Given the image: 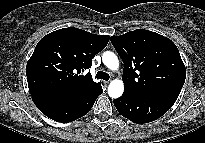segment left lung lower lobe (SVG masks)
Here are the masks:
<instances>
[{
    "label": "left lung lower lobe",
    "mask_w": 205,
    "mask_h": 143,
    "mask_svg": "<svg viewBox=\"0 0 205 143\" xmlns=\"http://www.w3.org/2000/svg\"><path fill=\"white\" fill-rule=\"evenodd\" d=\"M179 91L168 90L144 96L123 95L113 103L118 112L134 123L152 122L165 114L175 103Z\"/></svg>",
    "instance_id": "1"
}]
</instances>
